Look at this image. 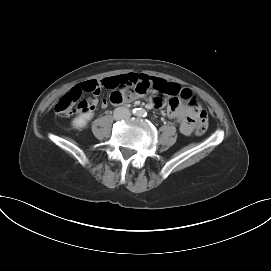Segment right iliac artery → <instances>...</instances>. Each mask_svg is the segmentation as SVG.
Wrapping results in <instances>:
<instances>
[{"label": "right iliac artery", "instance_id": "1", "mask_svg": "<svg viewBox=\"0 0 271 271\" xmlns=\"http://www.w3.org/2000/svg\"><path fill=\"white\" fill-rule=\"evenodd\" d=\"M133 114H135V115H139V113H140V108H135V109H133Z\"/></svg>", "mask_w": 271, "mask_h": 271}]
</instances>
